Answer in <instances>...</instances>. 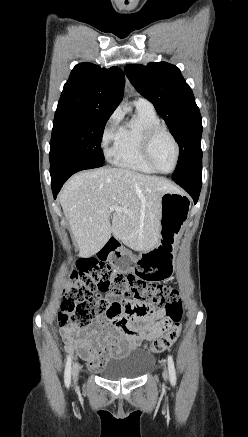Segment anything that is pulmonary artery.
I'll return each mask as SVG.
<instances>
[{
    "label": "pulmonary artery",
    "instance_id": "obj_1",
    "mask_svg": "<svg viewBox=\"0 0 248 437\" xmlns=\"http://www.w3.org/2000/svg\"><path fill=\"white\" fill-rule=\"evenodd\" d=\"M134 104L136 107L154 109L151 102L143 97H137Z\"/></svg>",
    "mask_w": 248,
    "mask_h": 437
}]
</instances>
